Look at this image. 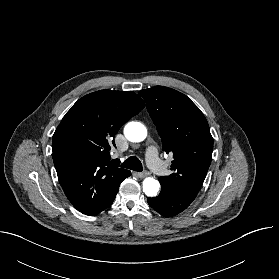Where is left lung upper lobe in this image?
<instances>
[{
  "instance_id": "1",
  "label": "left lung upper lobe",
  "mask_w": 279,
  "mask_h": 279,
  "mask_svg": "<svg viewBox=\"0 0 279 279\" xmlns=\"http://www.w3.org/2000/svg\"><path fill=\"white\" fill-rule=\"evenodd\" d=\"M161 137L173 153L172 174L159 178L168 188L196 196L212 159L213 138L200 109L184 94L163 86L139 92Z\"/></svg>"
}]
</instances>
